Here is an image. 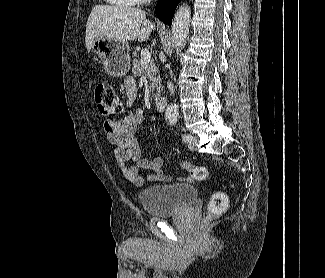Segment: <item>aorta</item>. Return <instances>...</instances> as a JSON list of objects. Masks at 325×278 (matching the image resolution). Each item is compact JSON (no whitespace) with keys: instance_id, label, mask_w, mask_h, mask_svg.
Instances as JSON below:
<instances>
[{"instance_id":"obj_1","label":"aorta","mask_w":325,"mask_h":278,"mask_svg":"<svg viewBox=\"0 0 325 278\" xmlns=\"http://www.w3.org/2000/svg\"><path fill=\"white\" fill-rule=\"evenodd\" d=\"M190 18H191V10L190 7L187 5L181 6L173 20L172 24V36H173V41L175 43V47L177 50L184 48L188 33H189V28H190ZM166 119L170 123H175L177 122L178 119V108L176 104H170L166 108Z\"/></svg>"}]
</instances>
